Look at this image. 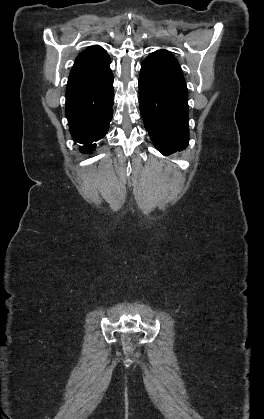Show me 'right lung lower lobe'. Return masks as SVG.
<instances>
[{
  "label": "right lung lower lobe",
  "instance_id": "obj_1",
  "mask_svg": "<svg viewBox=\"0 0 264 419\" xmlns=\"http://www.w3.org/2000/svg\"><path fill=\"white\" fill-rule=\"evenodd\" d=\"M113 75L90 85L67 87L66 117L73 139L81 144L80 151L91 153L95 142L109 130L113 116Z\"/></svg>",
  "mask_w": 264,
  "mask_h": 419
}]
</instances>
